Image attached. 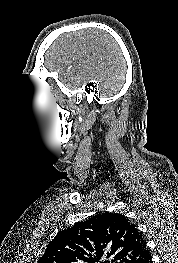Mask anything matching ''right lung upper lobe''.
I'll return each mask as SVG.
<instances>
[{
    "label": "right lung upper lobe",
    "instance_id": "obj_1",
    "mask_svg": "<svg viewBox=\"0 0 178 263\" xmlns=\"http://www.w3.org/2000/svg\"><path fill=\"white\" fill-rule=\"evenodd\" d=\"M149 254L135 224L104 213L58 233L38 263H141Z\"/></svg>",
    "mask_w": 178,
    "mask_h": 263
}]
</instances>
